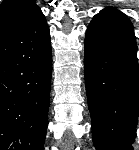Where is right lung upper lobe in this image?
<instances>
[{
    "instance_id": "obj_1",
    "label": "right lung upper lobe",
    "mask_w": 139,
    "mask_h": 150,
    "mask_svg": "<svg viewBox=\"0 0 139 150\" xmlns=\"http://www.w3.org/2000/svg\"><path fill=\"white\" fill-rule=\"evenodd\" d=\"M40 10L35 0H4L0 5V32Z\"/></svg>"
}]
</instances>
